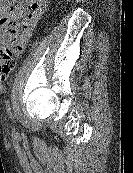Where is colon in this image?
I'll use <instances>...</instances> for the list:
<instances>
[{
	"mask_svg": "<svg viewBox=\"0 0 133 173\" xmlns=\"http://www.w3.org/2000/svg\"><path fill=\"white\" fill-rule=\"evenodd\" d=\"M17 53L14 47L0 45V78L4 80L16 67Z\"/></svg>",
	"mask_w": 133,
	"mask_h": 173,
	"instance_id": "obj_1",
	"label": "colon"
}]
</instances>
